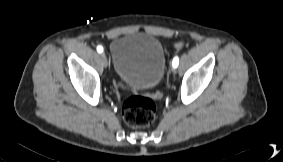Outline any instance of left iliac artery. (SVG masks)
Segmentation results:
<instances>
[{
  "label": "left iliac artery",
  "mask_w": 283,
  "mask_h": 162,
  "mask_svg": "<svg viewBox=\"0 0 283 162\" xmlns=\"http://www.w3.org/2000/svg\"><path fill=\"white\" fill-rule=\"evenodd\" d=\"M179 64V58L176 56L174 57L173 61H172V65L174 68H176Z\"/></svg>",
  "instance_id": "1"
}]
</instances>
